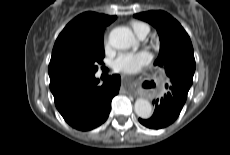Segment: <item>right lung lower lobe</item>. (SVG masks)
I'll return each instance as SVG.
<instances>
[{
	"label": "right lung lower lobe",
	"instance_id": "98d812e1",
	"mask_svg": "<svg viewBox=\"0 0 230 155\" xmlns=\"http://www.w3.org/2000/svg\"><path fill=\"white\" fill-rule=\"evenodd\" d=\"M95 73L50 78L55 105L72 127L87 131L105 122L111 100L118 94L120 76H109L102 85Z\"/></svg>",
	"mask_w": 230,
	"mask_h": 155
}]
</instances>
